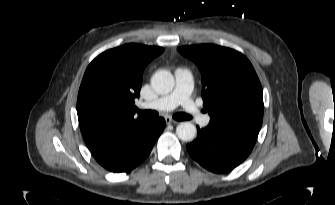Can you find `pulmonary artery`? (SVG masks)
I'll return each instance as SVG.
<instances>
[{
  "instance_id": "pulmonary-artery-1",
  "label": "pulmonary artery",
  "mask_w": 335,
  "mask_h": 205,
  "mask_svg": "<svg viewBox=\"0 0 335 205\" xmlns=\"http://www.w3.org/2000/svg\"><path fill=\"white\" fill-rule=\"evenodd\" d=\"M193 88V75L185 68H178L175 71V87L173 91L155 101L144 102L141 107L144 109L169 111L177 106H182L185 113L202 126L210 121V116L202 114L197 108L190 95Z\"/></svg>"
}]
</instances>
